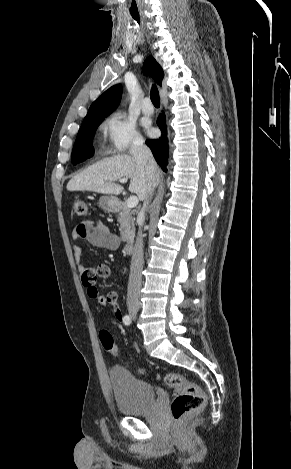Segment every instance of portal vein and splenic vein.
Wrapping results in <instances>:
<instances>
[{"instance_id":"18ae733b","label":"portal vein and splenic vein","mask_w":291,"mask_h":469,"mask_svg":"<svg viewBox=\"0 0 291 469\" xmlns=\"http://www.w3.org/2000/svg\"><path fill=\"white\" fill-rule=\"evenodd\" d=\"M119 182L120 183H126L127 179L126 178L119 179ZM138 202H139V200L136 196H130L127 200V207L128 208H135L138 205Z\"/></svg>"}]
</instances>
